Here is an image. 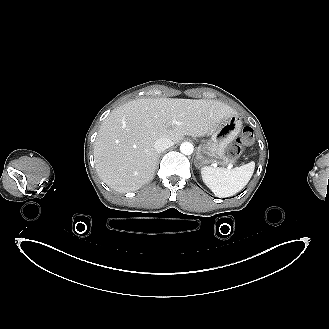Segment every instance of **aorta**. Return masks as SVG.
<instances>
[{
  "instance_id": "obj_1",
  "label": "aorta",
  "mask_w": 329,
  "mask_h": 329,
  "mask_svg": "<svg viewBox=\"0 0 329 329\" xmlns=\"http://www.w3.org/2000/svg\"><path fill=\"white\" fill-rule=\"evenodd\" d=\"M193 150H194V146L190 142H183L180 145V151L185 155H191L193 153Z\"/></svg>"
}]
</instances>
